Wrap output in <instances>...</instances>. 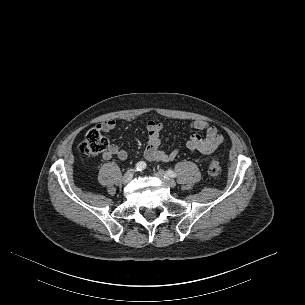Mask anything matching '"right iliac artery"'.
Instances as JSON below:
<instances>
[{"label": "right iliac artery", "mask_w": 305, "mask_h": 305, "mask_svg": "<svg viewBox=\"0 0 305 305\" xmlns=\"http://www.w3.org/2000/svg\"><path fill=\"white\" fill-rule=\"evenodd\" d=\"M146 168V163L144 161H140L135 166V171H142Z\"/></svg>", "instance_id": "right-iliac-artery-1"}]
</instances>
